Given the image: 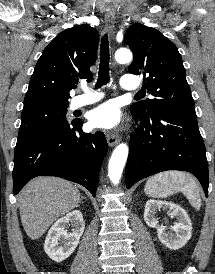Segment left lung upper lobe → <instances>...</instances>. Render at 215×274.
<instances>
[{"label": "left lung upper lobe", "instance_id": "5c2ea615", "mask_svg": "<svg viewBox=\"0 0 215 274\" xmlns=\"http://www.w3.org/2000/svg\"><path fill=\"white\" fill-rule=\"evenodd\" d=\"M124 41L133 51L129 72L144 78V90L153 95L131 105L132 113L153 115L162 111L196 118L186 71L176 46L155 28L134 24Z\"/></svg>", "mask_w": 215, "mask_h": 274}]
</instances>
